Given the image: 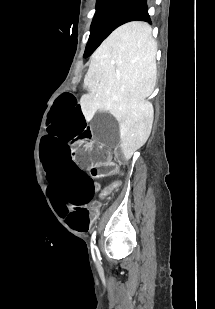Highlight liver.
Segmentation results:
<instances>
[{
	"label": "liver",
	"mask_w": 215,
	"mask_h": 309,
	"mask_svg": "<svg viewBox=\"0 0 215 309\" xmlns=\"http://www.w3.org/2000/svg\"><path fill=\"white\" fill-rule=\"evenodd\" d=\"M156 52L150 24L126 22L96 48L84 78L89 94L81 96L80 104L87 120L96 110L115 116L126 161L151 132L154 110L146 98L155 86Z\"/></svg>",
	"instance_id": "obj_1"
}]
</instances>
